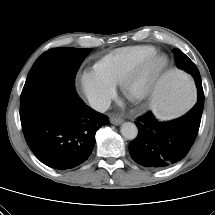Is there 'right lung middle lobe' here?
<instances>
[{
    "instance_id": "right-lung-middle-lobe-1",
    "label": "right lung middle lobe",
    "mask_w": 215,
    "mask_h": 215,
    "mask_svg": "<svg viewBox=\"0 0 215 215\" xmlns=\"http://www.w3.org/2000/svg\"><path fill=\"white\" fill-rule=\"evenodd\" d=\"M90 51L89 48H55L35 61L20 97L22 125L29 122L46 101L74 87L75 75Z\"/></svg>"
}]
</instances>
